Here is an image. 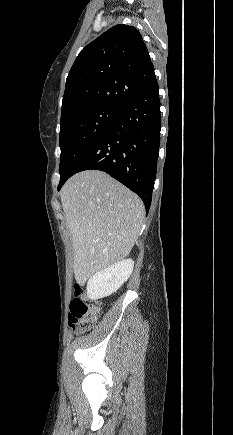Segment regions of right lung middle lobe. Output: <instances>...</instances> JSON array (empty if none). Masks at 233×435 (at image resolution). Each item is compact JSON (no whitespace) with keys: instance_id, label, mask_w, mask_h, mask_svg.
<instances>
[{"instance_id":"dd1d6c3e","label":"right lung middle lobe","mask_w":233,"mask_h":435,"mask_svg":"<svg viewBox=\"0 0 233 435\" xmlns=\"http://www.w3.org/2000/svg\"><path fill=\"white\" fill-rule=\"evenodd\" d=\"M119 111L117 107L102 106L60 122V180L97 141Z\"/></svg>"}]
</instances>
